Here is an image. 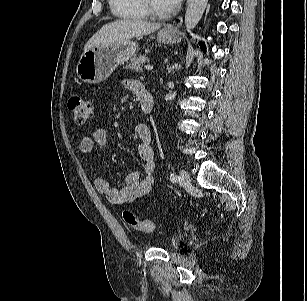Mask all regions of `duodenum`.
Wrapping results in <instances>:
<instances>
[{"label": "duodenum", "instance_id": "duodenum-1", "mask_svg": "<svg viewBox=\"0 0 307 301\" xmlns=\"http://www.w3.org/2000/svg\"><path fill=\"white\" fill-rule=\"evenodd\" d=\"M138 95L140 97L141 110L146 114L150 113L154 104L152 93L142 87L138 90Z\"/></svg>", "mask_w": 307, "mask_h": 301}]
</instances>
